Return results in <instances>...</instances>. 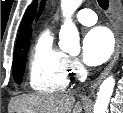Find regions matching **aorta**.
I'll use <instances>...</instances> for the list:
<instances>
[{
	"instance_id": "obj_1",
	"label": "aorta",
	"mask_w": 123,
	"mask_h": 113,
	"mask_svg": "<svg viewBox=\"0 0 123 113\" xmlns=\"http://www.w3.org/2000/svg\"><path fill=\"white\" fill-rule=\"evenodd\" d=\"M82 0H61V8L65 21L59 33V47L62 51L71 55L80 52L79 32L71 20V16L80 6ZM115 86V79L110 76L106 78L99 87L93 113H106L110 98Z\"/></svg>"
}]
</instances>
